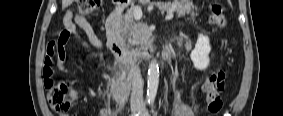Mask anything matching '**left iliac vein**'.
Listing matches in <instances>:
<instances>
[{"mask_svg":"<svg viewBox=\"0 0 283 116\" xmlns=\"http://www.w3.org/2000/svg\"><path fill=\"white\" fill-rule=\"evenodd\" d=\"M142 116H150L145 108H142Z\"/></svg>","mask_w":283,"mask_h":116,"instance_id":"1","label":"left iliac vein"}]
</instances>
